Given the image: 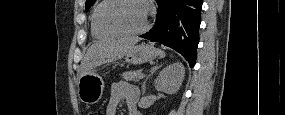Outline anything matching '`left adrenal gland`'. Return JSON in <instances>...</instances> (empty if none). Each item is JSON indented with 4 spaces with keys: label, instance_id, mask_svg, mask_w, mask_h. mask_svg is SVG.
<instances>
[{
    "label": "left adrenal gland",
    "instance_id": "1",
    "mask_svg": "<svg viewBox=\"0 0 285 115\" xmlns=\"http://www.w3.org/2000/svg\"><path fill=\"white\" fill-rule=\"evenodd\" d=\"M161 66L155 65L151 68L150 70V74L146 77V79L144 80L143 84H142V95H144L146 93V81L148 80V78Z\"/></svg>",
    "mask_w": 285,
    "mask_h": 115
}]
</instances>
